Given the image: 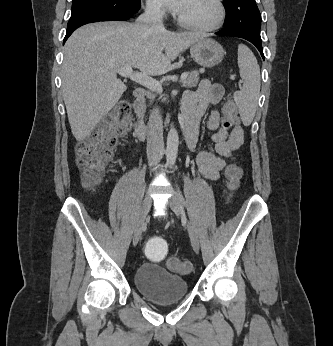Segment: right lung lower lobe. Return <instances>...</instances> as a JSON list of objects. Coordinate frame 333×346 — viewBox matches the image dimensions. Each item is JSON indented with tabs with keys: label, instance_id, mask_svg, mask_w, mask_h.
Masks as SVG:
<instances>
[{
	"label": "right lung lower lobe",
	"instance_id": "obj_1",
	"mask_svg": "<svg viewBox=\"0 0 333 346\" xmlns=\"http://www.w3.org/2000/svg\"><path fill=\"white\" fill-rule=\"evenodd\" d=\"M140 8V7H139ZM139 10V9H138ZM138 12V11H137ZM136 12V13H137ZM136 13H133L131 15H127V16H102V15H90V16H86L83 17L81 19H79L78 21H76L75 23L67 26V31H66V35L64 38L63 43H65V41L68 39V37L80 26H83L85 24L88 23H93V22H99V21H119V20H128L130 18H133Z\"/></svg>",
	"mask_w": 333,
	"mask_h": 346
}]
</instances>
